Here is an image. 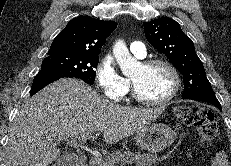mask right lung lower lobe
<instances>
[{"label": "right lung lower lobe", "instance_id": "obj_1", "mask_svg": "<svg viewBox=\"0 0 231 166\" xmlns=\"http://www.w3.org/2000/svg\"><path fill=\"white\" fill-rule=\"evenodd\" d=\"M59 78H74L73 76L63 75L62 73L49 70H40L35 76L30 90L31 96L36 94L46 85L58 80Z\"/></svg>", "mask_w": 231, "mask_h": 166}]
</instances>
